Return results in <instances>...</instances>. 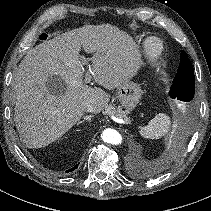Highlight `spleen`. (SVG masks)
Here are the masks:
<instances>
[{"label":"spleen","mask_w":211,"mask_h":211,"mask_svg":"<svg viewBox=\"0 0 211 211\" xmlns=\"http://www.w3.org/2000/svg\"><path fill=\"white\" fill-rule=\"evenodd\" d=\"M170 125L171 120L169 116L159 113L149 121L148 125L140 128V134L144 138L159 139L168 133Z\"/></svg>","instance_id":"spleen-1"}]
</instances>
